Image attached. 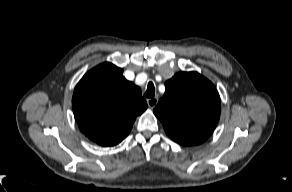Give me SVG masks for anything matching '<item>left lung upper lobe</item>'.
<instances>
[{"label": "left lung upper lobe", "mask_w": 292, "mask_h": 192, "mask_svg": "<svg viewBox=\"0 0 292 192\" xmlns=\"http://www.w3.org/2000/svg\"><path fill=\"white\" fill-rule=\"evenodd\" d=\"M166 91L153 112L171 139L185 146L204 142L220 117L215 86L197 72H179L165 83Z\"/></svg>", "instance_id": "5c2ea615"}]
</instances>
